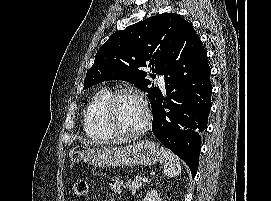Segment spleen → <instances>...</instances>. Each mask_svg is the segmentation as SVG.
<instances>
[{"label": "spleen", "mask_w": 271, "mask_h": 201, "mask_svg": "<svg viewBox=\"0 0 271 201\" xmlns=\"http://www.w3.org/2000/svg\"><path fill=\"white\" fill-rule=\"evenodd\" d=\"M161 154L164 165L163 174L167 177H176L181 173V164L179 158L173 154L170 150L161 147Z\"/></svg>", "instance_id": "spleen-1"}]
</instances>
